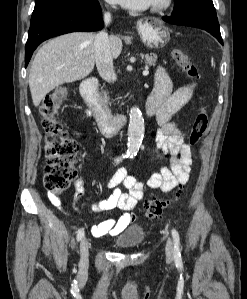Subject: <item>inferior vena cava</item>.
<instances>
[{
  "label": "inferior vena cava",
  "mask_w": 247,
  "mask_h": 299,
  "mask_svg": "<svg viewBox=\"0 0 247 299\" xmlns=\"http://www.w3.org/2000/svg\"><path fill=\"white\" fill-rule=\"evenodd\" d=\"M105 25L111 22L110 13L104 14ZM95 62L99 75L108 82L116 80L113 67V57L110 50L109 36L106 31H100L95 38Z\"/></svg>",
  "instance_id": "inferior-vena-cava-1"
}]
</instances>
